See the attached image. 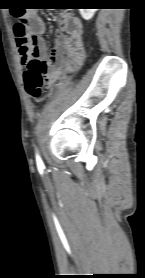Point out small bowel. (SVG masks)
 Instances as JSON below:
<instances>
[{
  "mask_svg": "<svg viewBox=\"0 0 145 278\" xmlns=\"http://www.w3.org/2000/svg\"><path fill=\"white\" fill-rule=\"evenodd\" d=\"M22 18L26 20L27 29L31 36L30 49L28 51L19 50L24 68L27 67L28 59L32 56L47 58L49 67L47 79L49 86H52L61 75L65 57L69 58L75 67L82 65L84 59L83 26L77 17L69 15L60 17L59 25L63 30L55 34L54 46L50 50L42 37L46 30L45 21L35 12H28Z\"/></svg>",
  "mask_w": 145,
  "mask_h": 278,
  "instance_id": "1",
  "label": "small bowel"
}]
</instances>
